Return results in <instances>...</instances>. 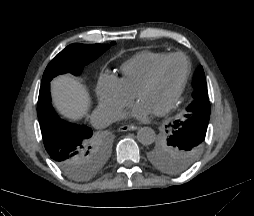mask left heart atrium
<instances>
[{
	"instance_id": "obj_1",
	"label": "left heart atrium",
	"mask_w": 254,
	"mask_h": 216,
	"mask_svg": "<svg viewBox=\"0 0 254 216\" xmlns=\"http://www.w3.org/2000/svg\"><path fill=\"white\" fill-rule=\"evenodd\" d=\"M154 114V111L152 108H150L148 105H146L145 103L138 101L133 109L131 110V112L128 114V116L135 118V119H139V120H144L146 119L148 116Z\"/></svg>"
}]
</instances>
